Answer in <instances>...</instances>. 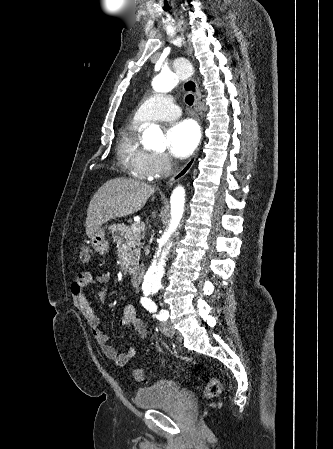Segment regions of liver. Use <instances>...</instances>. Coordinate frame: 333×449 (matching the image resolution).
Instances as JSON below:
<instances>
[{"instance_id": "obj_1", "label": "liver", "mask_w": 333, "mask_h": 449, "mask_svg": "<svg viewBox=\"0 0 333 449\" xmlns=\"http://www.w3.org/2000/svg\"><path fill=\"white\" fill-rule=\"evenodd\" d=\"M155 187L134 179L119 177L104 183L87 209L86 234L89 238L109 220L141 210Z\"/></svg>"}]
</instances>
